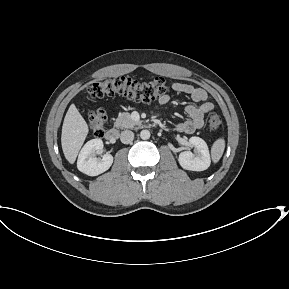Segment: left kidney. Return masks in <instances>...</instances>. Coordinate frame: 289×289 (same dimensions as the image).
<instances>
[{
    "mask_svg": "<svg viewBox=\"0 0 289 289\" xmlns=\"http://www.w3.org/2000/svg\"><path fill=\"white\" fill-rule=\"evenodd\" d=\"M188 145L194 147V153L184 151L179 154V164L182 168L191 171H204L211 163L209 149L206 142L200 137H191Z\"/></svg>",
    "mask_w": 289,
    "mask_h": 289,
    "instance_id": "5707ae66",
    "label": "left kidney"
}]
</instances>
